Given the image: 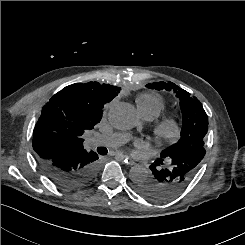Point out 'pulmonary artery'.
Instances as JSON below:
<instances>
[{
  "mask_svg": "<svg viewBox=\"0 0 245 245\" xmlns=\"http://www.w3.org/2000/svg\"><path fill=\"white\" fill-rule=\"evenodd\" d=\"M147 121L153 120L151 117L144 118ZM127 134L115 132L110 134H97L91 137L90 143L93 145H102L105 147H117L127 141Z\"/></svg>",
  "mask_w": 245,
  "mask_h": 245,
  "instance_id": "obj_1",
  "label": "pulmonary artery"
}]
</instances>
